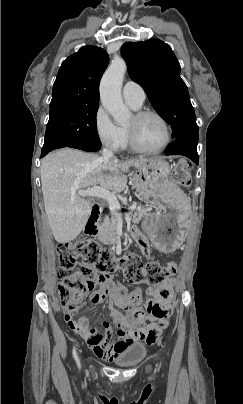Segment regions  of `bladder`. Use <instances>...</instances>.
<instances>
[{"instance_id":"obj_1","label":"bladder","mask_w":243,"mask_h":404,"mask_svg":"<svg viewBox=\"0 0 243 404\" xmlns=\"http://www.w3.org/2000/svg\"><path fill=\"white\" fill-rule=\"evenodd\" d=\"M147 354V348L142 343H133L124 348L114 359L119 367L130 368L140 363Z\"/></svg>"}]
</instances>
